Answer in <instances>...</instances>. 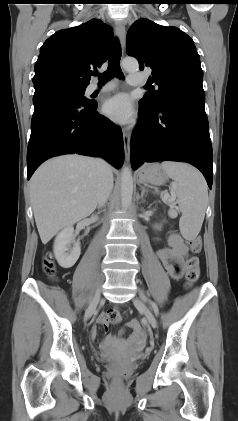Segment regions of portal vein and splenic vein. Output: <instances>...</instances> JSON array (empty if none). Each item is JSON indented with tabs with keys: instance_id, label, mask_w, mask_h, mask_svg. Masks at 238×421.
<instances>
[{
	"instance_id": "portal-vein-and-splenic-vein-1",
	"label": "portal vein and splenic vein",
	"mask_w": 238,
	"mask_h": 421,
	"mask_svg": "<svg viewBox=\"0 0 238 421\" xmlns=\"http://www.w3.org/2000/svg\"><path fill=\"white\" fill-rule=\"evenodd\" d=\"M163 196H164V198H170V195H169V193H163L162 194ZM175 199V195L174 194H172V198H171V200H174Z\"/></svg>"
}]
</instances>
